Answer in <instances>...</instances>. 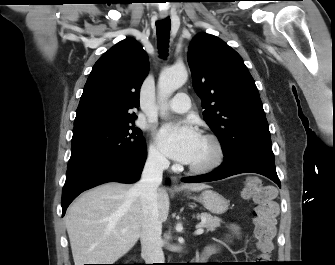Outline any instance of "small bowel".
Instances as JSON below:
<instances>
[{
	"label": "small bowel",
	"instance_id": "c3829d8e",
	"mask_svg": "<svg viewBox=\"0 0 335 265\" xmlns=\"http://www.w3.org/2000/svg\"><path fill=\"white\" fill-rule=\"evenodd\" d=\"M232 233H233L234 235L238 236V235H239L238 228H237V227H233V229H232ZM214 248H215V247H214ZM215 249H216V248H215Z\"/></svg>",
	"mask_w": 335,
	"mask_h": 265
}]
</instances>
